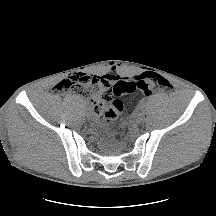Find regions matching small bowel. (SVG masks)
I'll return each instance as SVG.
<instances>
[{
	"label": "small bowel",
	"mask_w": 216,
	"mask_h": 216,
	"mask_svg": "<svg viewBox=\"0 0 216 216\" xmlns=\"http://www.w3.org/2000/svg\"><path fill=\"white\" fill-rule=\"evenodd\" d=\"M105 77H106L108 80H110L111 82H116V81H118V80L123 79V78H121L120 76L115 75V74H112V73H108L107 75H105ZM93 111H94L96 114H99V112L96 111V110L94 109V106H93Z\"/></svg>",
	"instance_id": "c3829d8e"
}]
</instances>
